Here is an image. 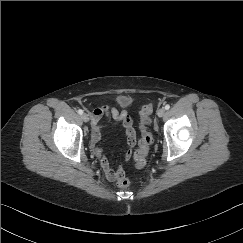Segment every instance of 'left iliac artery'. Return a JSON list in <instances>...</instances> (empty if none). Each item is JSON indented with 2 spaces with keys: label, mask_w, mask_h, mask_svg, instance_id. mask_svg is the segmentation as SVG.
Returning a JSON list of instances; mask_svg holds the SVG:
<instances>
[{
  "label": "left iliac artery",
  "mask_w": 243,
  "mask_h": 243,
  "mask_svg": "<svg viewBox=\"0 0 243 243\" xmlns=\"http://www.w3.org/2000/svg\"><path fill=\"white\" fill-rule=\"evenodd\" d=\"M169 108H170V105L167 104V105L165 106V109H166V110H169Z\"/></svg>",
  "instance_id": "left-iliac-artery-1"
}]
</instances>
